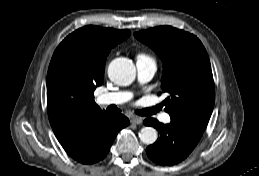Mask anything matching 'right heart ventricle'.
Masks as SVG:
<instances>
[{
	"instance_id": "right-heart-ventricle-1",
	"label": "right heart ventricle",
	"mask_w": 259,
	"mask_h": 176,
	"mask_svg": "<svg viewBox=\"0 0 259 176\" xmlns=\"http://www.w3.org/2000/svg\"><path fill=\"white\" fill-rule=\"evenodd\" d=\"M139 58H147V56H146L145 54H139V55H138V59H139Z\"/></svg>"
}]
</instances>
